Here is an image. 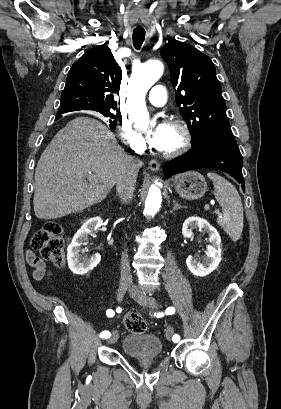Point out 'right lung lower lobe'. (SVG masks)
I'll return each instance as SVG.
<instances>
[{"label": "right lung lower lobe", "instance_id": "obj_1", "mask_svg": "<svg viewBox=\"0 0 281 409\" xmlns=\"http://www.w3.org/2000/svg\"><path fill=\"white\" fill-rule=\"evenodd\" d=\"M61 117H62L61 115H58V116L56 117V120L59 119V118H61Z\"/></svg>", "mask_w": 281, "mask_h": 409}]
</instances>
